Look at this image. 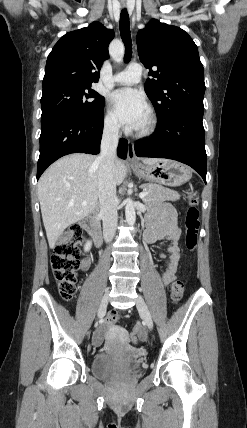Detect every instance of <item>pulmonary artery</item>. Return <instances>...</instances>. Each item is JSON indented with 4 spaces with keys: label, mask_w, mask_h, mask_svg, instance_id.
I'll use <instances>...</instances> for the list:
<instances>
[{
    "label": "pulmonary artery",
    "mask_w": 247,
    "mask_h": 428,
    "mask_svg": "<svg viewBox=\"0 0 247 428\" xmlns=\"http://www.w3.org/2000/svg\"><path fill=\"white\" fill-rule=\"evenodd\" d=\"M142 75V67L139 64H130L124 71L113 77V81L120 85H132L139 82Z\"/></svg>",
    "instance_id": "e3ab8cb5"
}]
</instances>
